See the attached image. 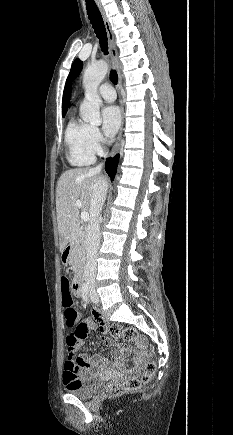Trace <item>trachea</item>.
<instances>
[{"mask_svg": "<svg viewBox=\"0 0 233 435\" xmlns=\"http://www.w3.org/2000/svg\"><path fill=\"white\" fill-rule=\"evenodd\" d=\"M85 2L88 18L90 20V23L92 24L97 38L99 39L101 50L104 52V54H108L107 33L102 15L94 0H85ZM110 80L114 85L117 84L118 75L115 70H111Z\"/></svg>", "mask_w": 233, "mask_h": 435, "instance_id": "1", "label": "trachea"}]
</instances>
